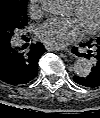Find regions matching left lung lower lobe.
Listing matches in <instances>:
<instances>
[{"label": "left lung lower lobe", "mask_w": 100, "mask_h": 118, "mask_svg": "<svg viewBox=\"0 0 100 118\" xmlns=\"http://www.w3.org/2000/svg\"><path fill=\"white\" fill-rule=\"evenodd\" d=\"M80 46L89 49L87 53H79L77 48L72 49V52L77 56H85L86 58L91 59L93 62V67L91 68V72L88 76H74L73 79L77 84L85 87H98L100 86V37L83 43Z\"/></svg>", "instance_id": "1"}]
</instances>
